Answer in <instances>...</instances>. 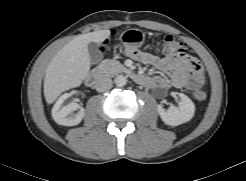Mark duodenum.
I'll use <instances>...</instances> for the list:
<instances>
[{"mask_svg": "<svg viewBox=\"0 0 246 181\" xmlns=\"http://www.w3.org/2000/svg\"><path fill=\"white\" fill-rule=\"evenodd\" d=\"M132 77L139 84H146L149 77L139 73H132ZM86 83L92 87H99L104 83V73L100 69L90 71L86 76Z\"/></svg>", "mask_w": 246, "mask_h": 181, "instance_id": "obj_1", "label": "duodenum"}]
</instances>
